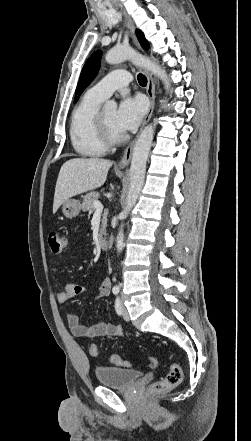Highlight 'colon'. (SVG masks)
<instances>
[{
  "mask_svg": "<svg viewBox=\"0 0 251 441\" xmlns=\"http://www.w3.org/2000/svg\"><path fill=\"white\" fill-rule=\"evenodd\" d=\"M48 243L50 249L53 253H60L64 250L67 245V238L64 234L59 231L53 230L48 234ZM89 353L92 356H97L99 354V349L96 344H91L89 346ZM110 361L119 367H130L131 363L118 355H112ZM148 366L155 367L156 359L154 357L148 358ZM183 380V371L179 364L172 362L169 366V371L167 375L160 380L155 381L149 387L151 393H161L171 390L181 384Z\"/></svg>",
  "mask_w": 251,
  "mask_h": 441,
  "instance_id": "colon-1",
  "label": "colon"
}]
</instances>
